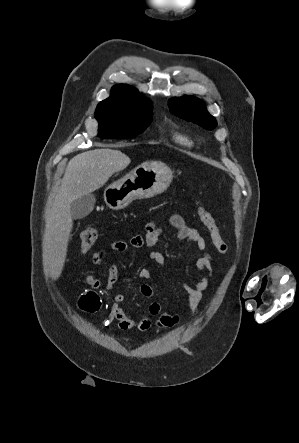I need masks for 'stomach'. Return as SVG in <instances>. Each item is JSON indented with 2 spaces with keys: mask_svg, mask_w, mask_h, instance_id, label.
I'll return each mask as SVG.
<instances>
[{
  "mask_svg": "<svg viewBox=\"0 0 299 443\" xmlns=\"http://www.w3.org/2000/svg\"><path fill=\"white\" fill-rule=\"evenodd\" d=\"M173 173L160 162L143 163L104 191V200L113 210L123 209L133 200L151 198L164 192Z\"/></svg>",
  "mask_w": 299,
  "mask_h": 443,
  "instance_id": "obj_1",
  "label": "stomach"
}]
</instances>
